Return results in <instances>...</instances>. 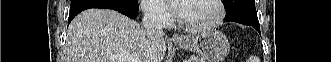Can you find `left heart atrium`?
Returning <instances> with one entry per match:
<instances>
[{
  "label": "left heart atrium",
  "mask_w": 331,
  "mask_h": 62,
  "mask_svg": "<svg viewBox=\"0 0 331 62\" xmlns=\"http://www.w3.org/2000/svg\"><path fill=\"white\" fill-rule=\"evenodd\" d=\"M165 3L176 13L182 14L185 9V4L187 1L184 0H164Z\"/></svg>",
  "instance_id": "1"
}]
</instances>
